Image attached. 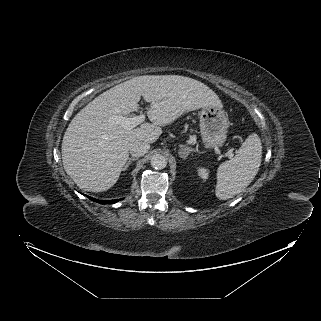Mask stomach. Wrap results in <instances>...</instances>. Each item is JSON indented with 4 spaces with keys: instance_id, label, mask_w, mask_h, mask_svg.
<instances>
[{
    "instance_id": "obj_1",
    "label": "stomach",
    "mask_w": 321,
    "mask_h": 321,
    "mask_svg": "<svg viewBox=\"0 0 321 321\" xmlns=\"http://www.w3.org/2000/svg\"><path fill=\"white\" fill-rule=\"evenodd\" d=\"M200 133L206 147L222 146L226 140L228 118L221 106H208L201 109Z\"/></svg>"
}]
</instances>
